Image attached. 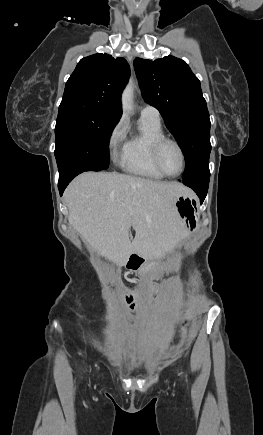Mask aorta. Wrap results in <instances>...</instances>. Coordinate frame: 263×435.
<instances>
[{
    "mask_svg": "<svg viewBox=\"0 0 263 435\" xmlns=\"http://www.w3.org/2000/svg\"><path fill=\"white\" fill-rule=\"evenodd\" d=\"M133 91L134 87L132 83H129L122 95V108L126 113H130L132 111V100H133Z\"/></svg>",
    "mask_w": 263,
    "mask_h": 435,
    "instance_id": "aorta-1",
    "label": "aorta"
}]
</instances>
